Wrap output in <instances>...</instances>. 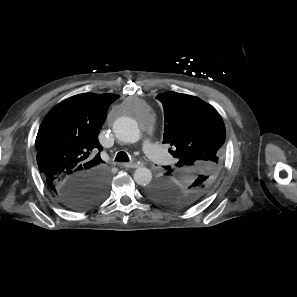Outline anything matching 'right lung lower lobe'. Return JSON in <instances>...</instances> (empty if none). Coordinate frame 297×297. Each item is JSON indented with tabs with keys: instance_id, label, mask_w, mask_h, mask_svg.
<instances>
[{
	"instance_id": "98d812e1",
	"label": "right lung lower lobe",
	"mask_w": 297,
	"mask_h": 297,
	"mask_svg": "<svg viewBox=\"0 0 297 297\" xmlns=\"http://www.w3.org/2000/svg\"><path fill=\"white\" fill-rule=\"evenodd\" d=\"M107 189L108 175L98 171L79 176L53 195L71 209H86L101 202Z\"/></svg>"
}]
</instances>
